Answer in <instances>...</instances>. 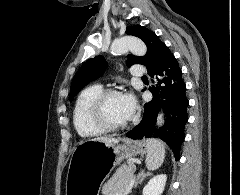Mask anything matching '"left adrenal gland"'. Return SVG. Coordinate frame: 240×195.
Listing matches in <instances>:
<instances>
[{
    "label": "left adrenal gland",
    "instance_id": "left-adrenal-gland-1",
    "mask_svg": "<svg viewBox=\"0 0 240 195\" xmlns=\"http://www.w3.org/2000/svg\"><path fill=\"white\" fill-rule=\"evenodd\" d=\"M147 175H152V173H150V171H145V169H140V171H138V175L135 177L134 187H137L138 183H141Z\"/></svg>",
    "mask_w": 240,
    "mask_h": 195
}]
</instances>
